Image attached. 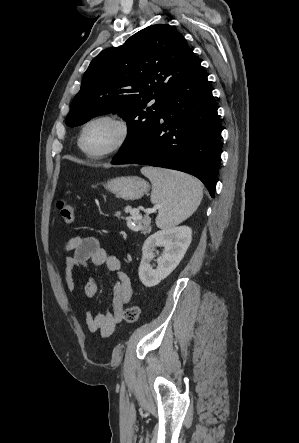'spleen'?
Returning <instances> with one entry per match:
<instances>
[{"instance_id":"3e777b00","label":"spleen","mask_w":299,"mask_h":443,"mask_svg":"<svg viewBox=\"0 0 299 443\" xmlns=\"http://www.w3.org/2000/svg\"><path fill=\"white\" fill-rule=\"evenodd\" d=\"M141 173L152 183L151 201L159 209L156 225L167 229L190 217L200 205L203 196L201 183L176 171L143 167Z\"/></svg>"}]
</instances>
